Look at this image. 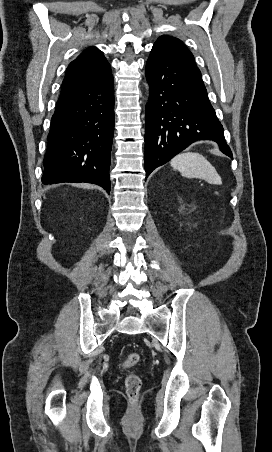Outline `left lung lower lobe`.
Instances as JSON below:
<instances>
[{
    "label": "left lung lower lobe",
    "mask_w": 272,
    "mask_h": 452,
    "mask_svg": "<svg viewBox=\"0 0 272 452\" xmlns=\"http://www.w3.org/2000/svg\"><path fill=\"white\" fill-rule=\"evenodd\" d=\"M146 77L151 89L145 114L146 177L198 140L217 142L233 158L195 63L167 47L153 46Z\"/></svg>",
    "instance_id": "0a47b994"
}]
</instances>
